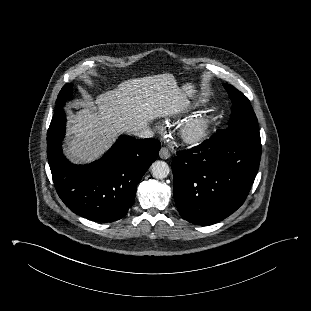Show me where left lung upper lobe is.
Wrapping results in <instances>:
<instances>
[{"instance_id":"left-lung-upper-lobe-1","label":"left lung upper lobe","mask_w":311,"mask_h":311,"mask_svg":"<svg viewBox=\"0 0 311 311\" xmlns=\"http://www.w3.org/2000/svg\"><path fill=\"white\" fill-rule=\"evenodd\" d=\"M224 88L228 92L233 104L231 119L227 128L242 127L258 131L257 118L248 98L231 85L224 84ZM221 131L219 129L216 133Z\"/></svg>"}]
</instances>
